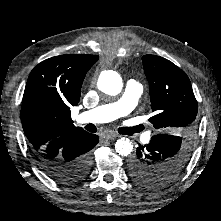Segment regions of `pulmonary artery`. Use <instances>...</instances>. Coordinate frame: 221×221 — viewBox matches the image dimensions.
I'll return each instance as SVG.
<instances>
[{"label": "pulmonary artery", "instance_id": "1", "mask_svg": "<svg viewBox=\"0 0 221 221\" xmlns=\"http://www.w3.org/2000/svg\"><path fill=\"white\" fill-rule=\"evenodd\" d=\"M142 90V86L137 80L130 79L126 83L122 96L117 101L79 113L76 120L79 123H106L114 121L127 115L134 109L142 94Z\"/></svg>", "mask_w": 221, "mask_h": 221}]
</instances>
